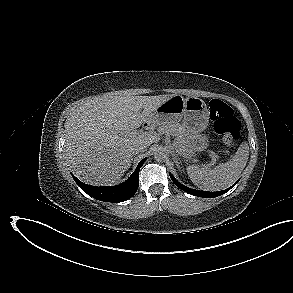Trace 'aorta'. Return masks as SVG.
<instances>
[{"label": "aorta", "instance_id": "obj_1", "mask_svg": "<svg viewBox=\"0 0 293 293\" xmlns=\"http://www.w3.org/2000/svg\"><path fill=\"white\" fill-rule=\"evenodd\" d=\"M166 155H167V152H166V150H165L164 148H162V147H158V148L155 150V152H154V158H155L156 160H162V159H164V158L166 157Z\"/></svg>", "mask_w": 293, "mask_h": 293}]
</instances>
